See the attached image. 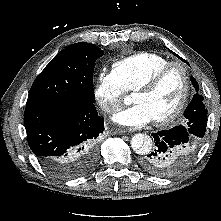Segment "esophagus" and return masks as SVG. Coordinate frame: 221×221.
I'll list each match as a JSON object with an SVG mask.
<instances>
[{"label": "esophagus", "instance_id": "esophagus-1", "mask_svg": "<svg viewBox=\"0 0 221 221\" xmlns=\"http://www.w3.org/2000/svg\"><path fill=\"white\" fill-rule=\"evenodd\" d=\"M125 132H127L125 129H115V130H113L114 134H123Z\"/></svg>", "mask_w": 221, "mask_h": 221}]
</instances>
